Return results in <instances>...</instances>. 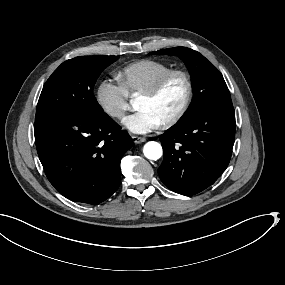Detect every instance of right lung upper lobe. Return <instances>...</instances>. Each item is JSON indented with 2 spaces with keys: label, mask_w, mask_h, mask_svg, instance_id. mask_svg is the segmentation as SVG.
Returning a JSON list of instances; mask_svg holds the SVG:
<instances>
[{
  "label": "right lung upper lobe",
  "mask_w": 285,
  "mask_h": 285,
  "mask_svg": "<svg viewBox=\"0 0 285 285\" xmlns=\"http://www.w3.org/2000/svg\"><path fill=\"white\" fill-rule=\"evenodd\" d=\"M106 58H111V59H114V58H118V56H105Z\"/></svg>",
  "instance_id": "1"
}]
</instances>
